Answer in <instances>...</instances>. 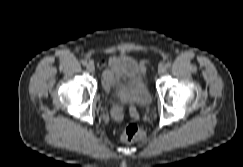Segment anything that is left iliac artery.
Wrapping results in <instances>:
<instances>
[{
	"instance_id": "left-iliac-artery-1",
	"label": "left iliac artery",
	"mask_w": 243,
	"mask_h": 167,
	"mask_svg": "<svg viewBox=\"0 0 243 167\" xmlns=\"http://www.w3.org/2000/svg\"><path fill=\"white\" fill-rule=\"evenodd\" d=\"M165 66H166V68H169V67L171 66V63H170V62H167V63L165 64Z\"/></svg>"
}]
</instances>
